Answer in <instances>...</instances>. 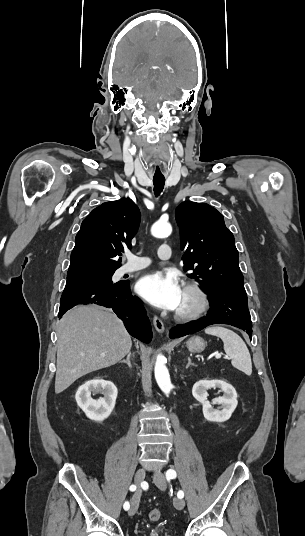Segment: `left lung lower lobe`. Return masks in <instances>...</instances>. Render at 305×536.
<instances>
[{
  "instance_id": "obj_1",
  "label": "left lung lower lobe",
  "mask_w": 305,
  "mask_h": 536,
  "mask_svg": "<svg viewBox=\"0 0 305 536\" xmlns=\"http://www.w3.org/2000/svg\"><path fill=\"white\" fill-rule=\"evenodd\" d=\"M209 301L211 308L206 317L173 327L170 337L179 338L192 334L212 324H229L245 330L250 339L252 338V323L246 292L210 293Z\"/></svg>"
}]
</instances>
